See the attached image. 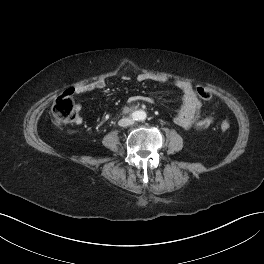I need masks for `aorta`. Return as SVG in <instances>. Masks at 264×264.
<instances>
[{
	"label": "aorta",
	"mask_w": 264,
	"mask_h": 264,
	"mask_svg": "<svg viewBox=\"0 0 264 264\" xmlns=\"http://www.w3.org/2000/svg\"><path fill=\"white\" fill-rule=\"evenodd\" d=\"M135 118L139 121H143L146 119V112L143 111V110H140V111H137L136 112V115H135Z\"/></svg>",
	"instance_id": "obj_1"
}]
</instances>
